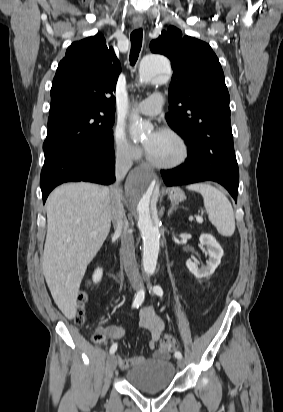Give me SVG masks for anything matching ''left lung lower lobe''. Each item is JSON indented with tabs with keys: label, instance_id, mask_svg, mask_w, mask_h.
<instances>
[{
	"label": "left lung lower lobe",
	"instance_id": "obj_1",
	"mask_svg": "<svg viewBox=\"0 0 283 412\" xmlns=\"http://www.w3.org/2000/svg\"><path fill=\"white\" fill-rule=\"evenodd\" d=\"M189 155L184 164L171 170L161 171L167 186L190 184L201 181H215L223 185L237 201L239 179L229 177L225 170V160H217L204 150L201 143L195 140L186 142Z\"/></svg>",
	"mask_w": 283,
	"mask_h": 412
}]
</instances>
